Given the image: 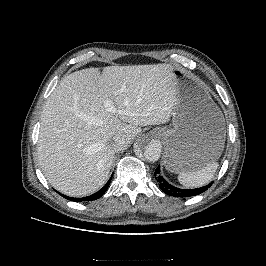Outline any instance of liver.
Instances as JSON below:
<instances>
[{
  "instance_id": "6515ba94",
  "label": "liver",
  "mask_w": 266,
  "mask_h": 266,
  "mask_svg": "<svg viewBox=\"0 0 266 266\" xmlns=\"http://www.w3.org/2000/svg\"><path fill=\"white\" fill-rule=\"evenodd\" d=\"M110 100L116 112L104 102ZM176 105V78L168 64L88 68L64 77L46 100L37 154L58 191L83 197L107 181L114 160L109 142L128 147L141 127L165 124Z\"/></svg>"
}]
</instances>
